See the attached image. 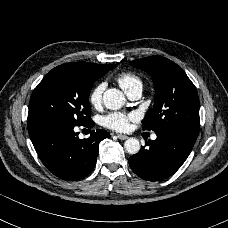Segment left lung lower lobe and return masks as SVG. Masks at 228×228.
<instances>
[{"mask_svg": "<svg viewBox=\"0 0 228 228\" xmlns=\"http://www.w3.org/2000/svg\"><path fill=\"white\" fill-rule=\"evenodd\" d=\"M156 140L146 141L129 158L132 171L144 180L159 181L173 175L189 156L197 137L183 132L162 131Z\"/></svg>", "mask_w": 228, "mask_h": 228, "instance_id": "1", "label": "left lung lower lobe"}]
</instances>
